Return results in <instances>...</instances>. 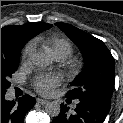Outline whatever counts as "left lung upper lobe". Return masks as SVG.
Wrapping results in <instances>:
<instances>
[{"label":"left lung upper lobe","mask_w":123,"mask_h":123,"mask_svg":"<svg viewBox=\"0 0 123 123\" xmlns=\"http://www.w3.org/2000/svg\"><path fill=\"white\" fill-rule=\"evenodd\" d=\"M56 25L80 48L85 61L83 71L73 80V89L66 97L110 107L115 82L114 58L110 51L101 40L70 24Z\"/></svg>","instance_id":"5c2ea615"}]
</instances>
